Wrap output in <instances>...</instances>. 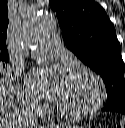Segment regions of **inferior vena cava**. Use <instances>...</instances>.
Here are the masks:
<instances>
[{
  "label": "inferior vena cava",
  "instance_id": "602c4592",
  "mask_svg": "<svg viewBox=\"0 0 125 128\" xmlns=\"http://www.w3.org/2000/svg\"><path fill=\"white\" fill-rule=\"evenodd\" d=\"M29 108H31L33 110L35 108V106L29 105ZM23 120H24V123H26L27 127L34 126L37 121L36 115L33 112H31V113L29 112L28 115L26 116V118H23Z\"/></svg>",
  "mask_w": 125,
  "mask_h": 128
}]
</instances>
